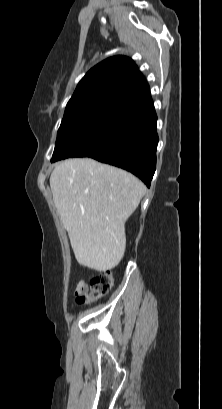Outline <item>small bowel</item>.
<instances>
[{"mask_svg": "<svg viewBox=\"0 0 222 409\" xmlns=\"http://www.w3.org/2000/svg\"><path fill=\"white\" fill-rule=\"evenodd\" d=\"M87 290H88V284L85 281L81 280L77 284L75 292H76V294H78V293H81V292H87Z\"/></svg>", "mask_w": 222, "mask_h": 409, "instance_id": "small-bowel-1", "label": "small bowel"}]
</instances>
